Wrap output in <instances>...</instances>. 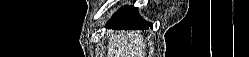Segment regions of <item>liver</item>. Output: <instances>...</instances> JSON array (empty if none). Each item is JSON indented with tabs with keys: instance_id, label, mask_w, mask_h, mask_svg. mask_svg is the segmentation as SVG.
<instances>
[{
	"instance_id": "1",
	"label": "liver",
	"mask_w": 249,
	"mask_h": 57,
	"mask_svg": "<svg viewBox=\"0 0 249 57\" xmlns=\"http://www.w3.org/2000/svg\"><path fill=\"white\" fill-rule=\"evenodd\" d=\"M107 57H145L143 36L133 31L111 36Z\"/></svg>"
}]
</instances>
